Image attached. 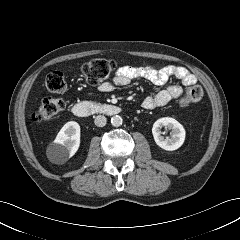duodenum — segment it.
Returning <instances> with one entry per match:
<instances>
[{
	"label": "duodenum",
	"instance_id": "410a0bca",
	"mask_svg": "<svg viewBox=\"0 0 240 240\" xmlns=\"http://www.w3.org/2000/svg\"><path fill=\"white\" fill-rule=\"evenodd\" d=\"M71 112L74 116L85 118L96 114H104V115H117L121 112V108L108 103H97L92 101H82L75 103Z\"/></svg>",
	"mask_w": 240,
	"mask_h": 240
}]
</instances>
